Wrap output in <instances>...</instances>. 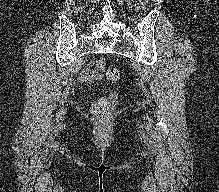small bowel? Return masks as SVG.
Returning a JSON list of instances; mask_svg holds the SVG:
<instances>
[{
    "mask_svg": "<svg viewBox=\"0 0 219 192\" xmlns=\"http://www.w3.org/2000/svg\"><path fill=\"white\" fill-rule=\"evenodd\" d=\"M102 69V60H96L82 71L81 78L88 82H96L102 77V74L100 73V70Z\"/></svg>",
    "mask_w": 219,
    "mask_h": 192,
    "instance_id": "c3829d8e",
    "label": "small bowel"
}]
</instances>
